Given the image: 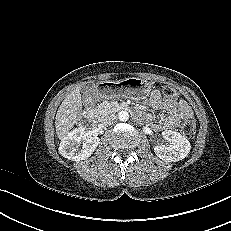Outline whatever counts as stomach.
<instances>
[{"instance_id":"0dacf381","label":"stomach","mask_w":231,"mask_h":231,"mask_svg":"<svg viewBox=\"0 0 231 231\" xmlns=\"http://www.w3.org/2000/svg\"><path fill=\"white\" fill-rule=\"evenodd\" d=\"M108 96H121L135 100H142L148 97L152 90V85L141 78H126L119 81L108 82Z\"/></svg>"}]
</instances>
